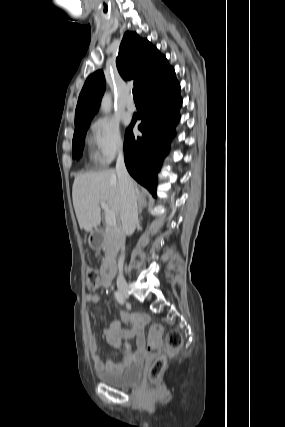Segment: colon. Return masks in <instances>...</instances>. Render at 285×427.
I'll use <instances>...</instances> for the list:
<instances>
[{"label": "colon", "mask_w": 285, "mask_h": 427, "mask_svg": "<svg viewBox=\"0 0 285 427\" xmlns=\"http://www.w3.org/2000/svg\"><path fill=\"white\" fill-rule=\"evenodd\" d=\"M95 243H98L96 241ZM86 282L90 288H96L100 284L99 275L96 269L92 266L86 268ZM162 327L154 324L150 327L147 340V349L149 351L159 348L161 344ZM166 353L159 356L149 369V379L155 381L165 369L167 356L178 351L182 346V336L179 331L171 330L166 334L165 338Z\"/></svg>", "instance_id": "5ec220e1"}]
</instances>
